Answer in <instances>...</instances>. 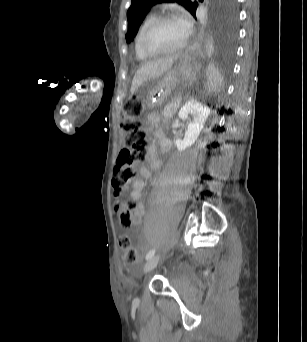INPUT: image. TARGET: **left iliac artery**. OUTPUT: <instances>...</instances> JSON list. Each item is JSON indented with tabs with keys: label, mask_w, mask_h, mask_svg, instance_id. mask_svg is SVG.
Segmentation results:
<instances>
[{
	"label": "left iliac artery",
	"mask_w": 307,
	"mask_h": 342,
	"mask_svg": "<svg viewBox=\"0 0 307 342\" xmlns=\"http://www.w3.org/2000/svg\"><path fill=\"white\" fill-rule=\"evenodd\" d=\"M155 249L150 250L146 255V260L150 259L155 254Z\"/></svg>",
	"instance_id": "left-iliac-artery-1"
}]
</instances>
